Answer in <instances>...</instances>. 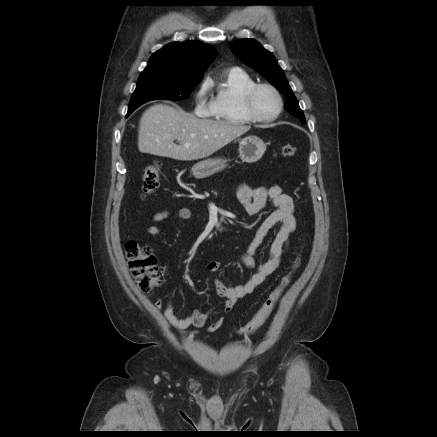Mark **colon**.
Segmentation results:
<instances>
[{
    "label": "colon",
    "mask_w": 437,
    "mask_h": 437,
    "mask_svg": "<svg viewBox=\"0 0 437 437\" xmlns=\"http://www.w3.org/2000/svg\"><path fill=\"white\" fill-rule=\"evenodd\" d=\"M296 151V147L289 144L284 145L281 149L284 157H292L296 154ZM160 172L161 164L159 161H154L144 168L141 181L143 198L152 195L159 187ZM125 254L130 271L138 287L143 293L151 294L161 281V273L156 257L147 246L141 245L134 239L126 242ZM300 261L301 258L298 256L294 261L292 271L282 279L280 285L269 295L252 319L238 329V334L248 336L264 324L280 300L284 290L289 285L292 274L300 266Z\"/></svg>",
    "instance_id": "1"
}]
</instances>
